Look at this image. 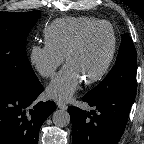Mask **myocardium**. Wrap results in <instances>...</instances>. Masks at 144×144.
Listing matches in <instances>:
<instances>
[{
  "label": "myocardium",
  "mask_w": 144,
  "mask_h": 144,
  "mask_svg": "<svg viewBox=\"0 0 144 144\" xmlns=\"http://www.w3.org/2000/svg\"><path fill=\"white\" fill-rule=\"evenodd\" d=\"M102 26H108L110 28L111 36H112L111 49H110L109 55H108L105 63L103 64L102 68L96 74L91 76L90 78L83 80L84 83H86V84H93V83L99 81L101 78H103V76L107 73V71L109 70V68L112 64V61L115 57L116 50H117V36H116V32H115V29L112 26V24L108 21L102 20V21H98L96 23L86 26L76 35V37L73 39L72 43L68 47L66 54H65V62L68 64L71 56L75 53V51L82 44L85 37L91 31H93L99 27H102Z\"/></svg>",
  "instance_id": "f54148a6"
}]
</instances>
